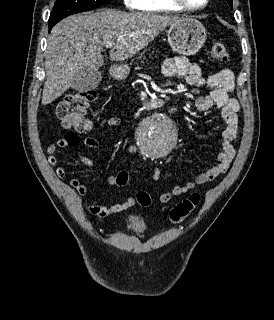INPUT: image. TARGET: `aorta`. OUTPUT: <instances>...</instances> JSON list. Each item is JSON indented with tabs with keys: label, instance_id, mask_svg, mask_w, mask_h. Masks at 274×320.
<instances>
[{
	"label": "aorta",
	"instance_id": "aorta-1",
	"mask_svg": "<svg viewBox=\"0 0 274 320\" xmlns=\"http://www.w3.org/2000/svg\"><path fill=\"white\" fill-rule=\"evenodd\" d=\"M139 140L146 157L159 159L175 148L177 131L171 120L161 115L142 125Z\"/></svg>",
	"mask_w": 274,
	"mask_h": 320
}]
</instances>
